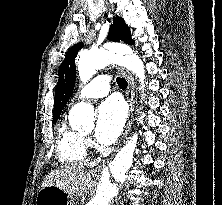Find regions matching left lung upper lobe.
<instances>
[{
	"mask_svg": "<svg viewBox=\"0 0 222 205\" xmlns=\"http://www.w3.org/2000/svg\"><path fill=\"white\" fill-rule=\"evenodd\" d=\"M108 39L115 42L123 41L127 44H134L131 39L129 27L121 17H114L113 24L109 29ZM83 43H77L66 53L65 59L59 67V80L55 89V106L53 110V122L56 123L60 113L68 102L76 80L75 58Z\"/></svg>",
	"mask_w": 222,
	"mask_h": 205,
	"instance_id": "obj_1",
	"label": "left lung upper lobe"
}]
</instances>
